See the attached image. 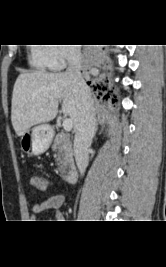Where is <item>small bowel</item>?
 <instances>
[{
    "mask_svg": "<svg viewBox=\"0 0 166 267\" xmlns=\"http://www.w3.org/2000/svg\"><path fill=\"white\" fill-rule=\"evenodd\" d=\"M65 202V196L61 194L52 195L49 198L45 199L34 205L32 212L33 217L44 213L46 211H52L56 220L61 221L63 219V214L61 212V207Z\"/></svg>",
    "mask_w": 166,
    "mask_h": 267,
    "instance_id": "1",
    "label": "small bowel"
}]
</instances>
